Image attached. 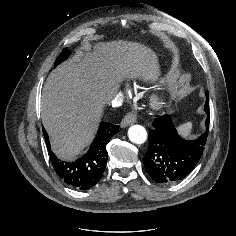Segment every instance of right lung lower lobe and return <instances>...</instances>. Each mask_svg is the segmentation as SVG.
<instances>
[{"mask_svg":"<svg viewBox=\"0 0 236 236\" xmlns=\"http://www.w3.org/2000/svg\"><path fill=\"white\" fill-rule=\"evenodd\" d=\"M118 131V125L102 122L88 152L74 162H64L59 160L50 150L49 137L43 129L45 142L57 175L75 189L86 190L96 185L106 166L108 157L106 145Z\"/></svg>","mask_w":236,"mask_h":236,"instance_id":"1","label":"right lung lower lobe"}]
</instances>
